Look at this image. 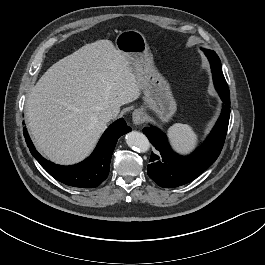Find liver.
<instances>
[{"instance_id": "liver-1", "label": "liver", "mask_w": 265, "mask_h": 265, "mask_svg": "<svg viewBox=\"0 0 265 265\" xmlns=\"http://www.w3.org/2000/svg\"><path fill=\"white\" fill-rule=\"evenodd\" d=\"M141 85L133 65L109 40L86 44L53 64L31 89L28 128L37 149L51 161L69 165L94 148L110 109L137 100Z\"/></svg>"}]
</instances>
